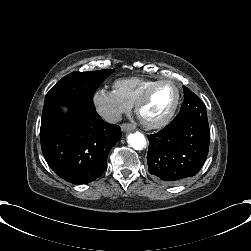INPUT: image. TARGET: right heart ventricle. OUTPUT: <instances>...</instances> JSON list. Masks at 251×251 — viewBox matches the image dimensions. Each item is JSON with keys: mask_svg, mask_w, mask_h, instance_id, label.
<instances>
[{"mask_svg": "<svg viewBox=\"0 0 251 251\" xmlns=\"http://www.w3.org/2000/svg\"><path fill=\"white\" fill-rule=\"evenodd\" d=\"M155 80L157 79L150 76L122 77L113 82V89L123 101L134 106L146 88Z\"/></svg>", "mask_w": 251, "mask_h": 251, "instance_id": "right-heart-ventricle-1", "label": "right heart ventricle"}]
</instances>
